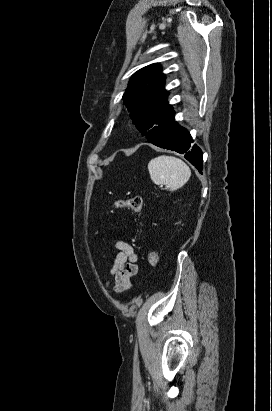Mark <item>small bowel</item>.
Masks as SVG:
<instances>
[{"label": "small bowel", "mask_w": 272, "mask_h": 411, "mask_svg": "<svg viewBox=\"0 0 272 411\" xmlns=\"http://www.w3.org/2000/svg\"><path fill=\"white\" fill-rule=\"evenodd\" d=\"M114 248L117 250V255L110 269L111 292L122 295L130 290L132 279L138 274L139 257L133 246L127 242L117 241L114 243Z\"/></svg>", "instance_id": "obj_1"}]
</instances>
